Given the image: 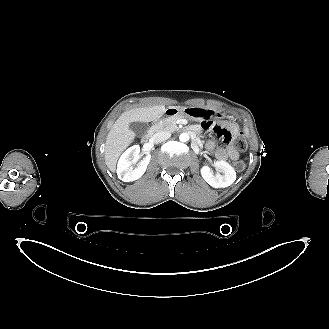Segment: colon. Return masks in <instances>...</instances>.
Segmentation results:
<instances>
[{
    "label": "colon",
    "mask_w": 329,
    "mask_h": 329,
    "mask_svg": "<svg viewBox=\"0 0 329 329\" xmlns=\"http://www.w3.org/2000/svg\"><path fill=\"white\" fill-rule=\"evenodd\" d=\"M233 144L234 146L239 150H245L247 147V140L243 135H236L233 138ZM233 166L237 171H242L245 168V163L242 160H234Z\"/></svg>",
    "instance_id": "obj_1"
}]
</instances>
